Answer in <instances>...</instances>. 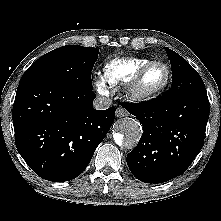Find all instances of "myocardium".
Segmentation results:
<instances>
[{"mask_svg":"<svg viewBox=\"0 0 221 221\" xmlns=\"http://www.w3.org/2000/svg\"><path fill=\"white\" fill-rule=\"evenodd\" d=\"M160 65L166 70V78L164 82L155 89H145L142 85L143 78L146 73L153 67ZM171 69L170 67L161 61H152L143 66L134 78L127 85V94L130 99L134 101H149L160 96L169 86L171 81Z\"/></svg>","mask_w":221,"mask_h":221,"instance_id":"f54148a6","label":"myocardium"}]
</instances>
